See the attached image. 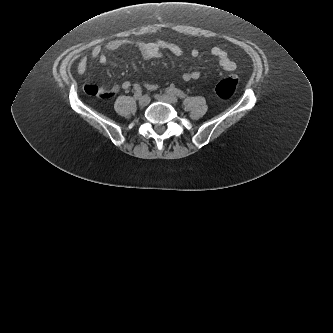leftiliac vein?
I'll return each instance as SVG.
<instances>
[{
	"instance_id": "obj_1",
	"label": "left iliac vein",
	"mask_w": 333,
	"mask_h": 333,
	"mask_svg": "<svg viewBox=\"0 0 333 333\" xmlns=\"http://www.w3.org/2000/svg\"><path fill=\"white\" fill-rule=\"evenodd\" d=\"M155 98L159 101L166 102L169 104H176L178 102V99L176 96L172 94H157L155 95Z\"/></svg>"
}]
</instances>
